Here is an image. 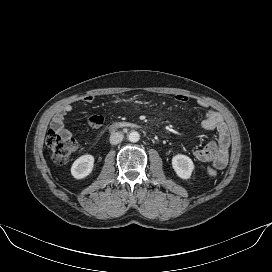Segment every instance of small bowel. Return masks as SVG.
Here are the masks:
<instances>
[{
  "instance_id": "obj_1",
  "label": "small bowel",
  "mask_w": 272,
  "mask_h": 272,
  "mask_svg": "<svg viewBox=\"0 0 272 272\" xmlns=\"http://www.w3.org/2000/svg\"><path fill=\"white\" fill-rule=\"evenodd\" d=\"M176 101L184 103L188 101V97L183 94L175 96ZM86 103H93L95 96L88 95L83 99ZM202 107H207L206 103L199 101ZM73 110L71 104H65L56 113L52 120V128L65 137H72V133L65 127V117L67 113ZM90 126L98 128L104 123V118L100 115H91L88 117ZM199 125L206 131L216 134L215 138L209 141L204 147L193 151V156L200 162H210L216 170H222L227 165L228 151L230 146V133L222 118V116L214 111L208 110L205 116L200 120Z\"/></svg>"
}]
</instances>
